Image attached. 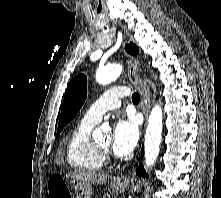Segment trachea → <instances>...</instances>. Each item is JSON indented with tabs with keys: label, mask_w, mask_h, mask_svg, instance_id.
I'll return each mask as SVG.
<instances>
[{
	"label": "trachea",
	"mask_w": 221,
	"mask_h": 198,
	"mask_svg": "<svg viewBox=\"0 0 221 198\" xmlns=\"http://www.w3.org/2000/svg\"><path fill=\"white\" fill-rule=\"evenodd\" d=\"M132 101H133L134 103H138V102L140 101V96H139L138 93H133V94H132Z\"/></svg>",
	"instance_id": "obj_1"
}]
</instances>
